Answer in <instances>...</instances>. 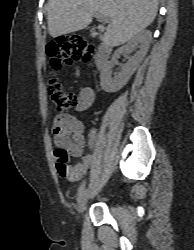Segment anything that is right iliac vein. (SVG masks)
<instances>
[{"label":"right iliac vein","mask_w":194,"mask_h":250,"mask_svg":"<svg viewBox=\"0 0 194 250\" xmlns=\"http://www.w3.org/2000/svg\"><path fill=\"white\" fill-rule=\"evenodd\" d=\"M87 197H88V189H85L80 197L78 198V212L81 213L85 209L86 202H87Z\"/></svg>","instance_id":"obj_1"}]
</instances>
